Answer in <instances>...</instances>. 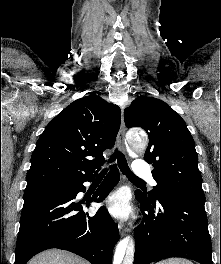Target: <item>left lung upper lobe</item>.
<instances>
[{"mask_svg":"<svg viewBox=\"0 0 221 264\" xmlns=\"http://www.w3.org/2000/svg\"><path fill=\"white\" fill-rule=\"evenodd\" d=\"M124 119L128 128L141 127L149 136L144 160L153 165L157 186L147 197L173 195L205 201L195 143L184 120L162 100L144 96L124 110Z\"/></svg>","mask_w":221,"mask_h":264,"instance_id":"obj_1","label":"left lung upper lobe"}]
</instances>
